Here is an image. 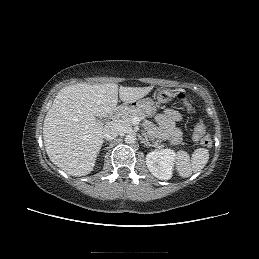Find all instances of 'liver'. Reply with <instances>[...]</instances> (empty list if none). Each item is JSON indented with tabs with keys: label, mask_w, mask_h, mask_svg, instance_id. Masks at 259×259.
<instances>
[{
	"label": "liver",
	"mask_w": 259,
	"mask_h": 259,
	"mask_svg": "<svg viewBox=\"0 0 259 259\" xmlns=\"http://www.w3.org/2000/svg\"><path fill=\"white\" fill-rule=\"evenodd\" d=\"M153 86L118 88L117 84L78 83L62 88L46 114L44 145L49 159L67 174H89L103 143V125L96 117L115 110L119 97L130 104L146 96Z\"/></svg>",
	"instance_id": "1"
}]
</instances>
